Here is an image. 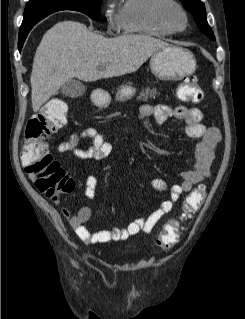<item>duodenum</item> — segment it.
<instances>
[{
  "label": "duodenum",
  "instance_id": "410a0bca",
  "mask_svg": "<svg viewBox=\"0 0 245 319\" xmlns=\"http://www.w3.org/2000/svg\"><path fill=\"white\" fill-rule=\"evenodd\" d=\"M92 102L96 106H100L103 103L102 94L100 92H95L92 95Z\"/></svg>",
  "mask_w": 245,
  "mask_h": 319
}]
</instances>
